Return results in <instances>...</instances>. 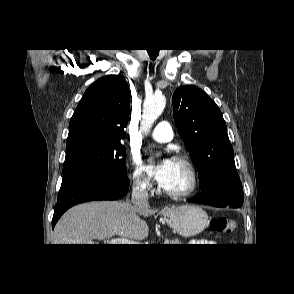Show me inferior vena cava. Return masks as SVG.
<instances>
[{
    "instance_id": "1",
    "label": "inferior vena cava",
    "mask_w": 294,
    "mask_h": 294,
    "mask_svg": "<svg viewBox=\"0 0 294 294\" xmlns=\"http://www.w3.org/2000/svg\"><path fill=\"white\" fill-rule=\"evenodd\" d=\"M131 202L136 207L148 206V191L146 189V183L141 180H136L132 189Z\"/></svg>"
}]
</instances>
